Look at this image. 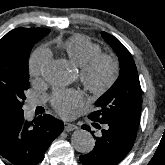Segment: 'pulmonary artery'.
<instances>
[{
	"label": "pulmonary artery",
	"mask_w": 165,
	"mask_h": 165,
	"mask_svg": "<svg viewBox=\"0 0 165 165\" xmlns=\"http://www.w3.org/2000/svg\"><path fill=\"white\" fill-rule=\"evenodd\" d=\"M40 102L38 100L32 99L28 102V110L33 111L35 107L39 104Z\"/></svg>",
	"instance_id": "obj_1"
}]
</instances>
